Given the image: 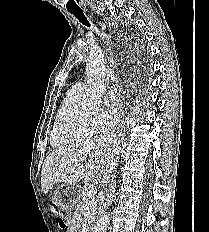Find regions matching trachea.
Returning a JSON list of instances; mask_svg holds the SVG:
<instances>
[{
	"label": "trachea",
	"mask_w": 209,
	"mask_h": 232,
	"mask_svg": "<svg viewBox=\"0 0 209 232\" xmlns=\"http://www.w3.org/2000/svg\"><path fill=\"white\" fill-rule=\"evenodd\" d=\"M71 14H73L83 25L90 27V23L84 15L83 11H74L71 12Z\"/></svg>",
	"instance_id": "3493384b"
}]
</instances>
